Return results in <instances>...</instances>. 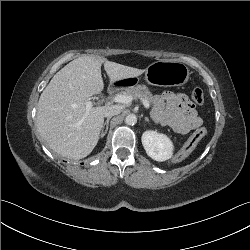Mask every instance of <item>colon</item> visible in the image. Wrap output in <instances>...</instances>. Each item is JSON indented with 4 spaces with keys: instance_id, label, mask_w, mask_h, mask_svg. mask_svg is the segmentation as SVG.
Here are the masks:
<instances>
[{
    "instance_id": "1",
    "label": "colon",
    "mask_w": 250,
    "mask_h": 250,
    "mask_svg": "<svg viewBox=\"0 0 250 250\" xmlns=\"http://www.w3.org/2000/svg\"><path fill=\"white\" fill-rule=\"evenodd\" d=\"M191 100L196 104H202L204 101V93L200 88H195L191 92ZM207 131L204 127L199 128L196 130L192 136L187 140L185 146L178 148L170 157V163L173 166H178L184 161V158L190 154V151L193 150L197 144L203 139L206 135Z\"/></svg>"
}]
</instances>
